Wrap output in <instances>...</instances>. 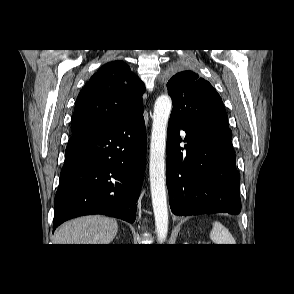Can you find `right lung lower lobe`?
I'll return each instance as SVG.
<instances>
[{
    "label": "right lung lower lobe",
    "instance_id": "1",
    "mask_svg": "<svg viewBox=\"0 0 294 294\" xmlns=\"http://www.w3.org/2000/svg\"><path fill=\"white\" fill-rule=\"evenodd\" d=\"M145 155L143 107L112 125L72 135L55 196L53 229L90 214L133 223Z\"/></svg>",
    "mask_w": 294,
    "mask_h": 294
}]
</instances>
